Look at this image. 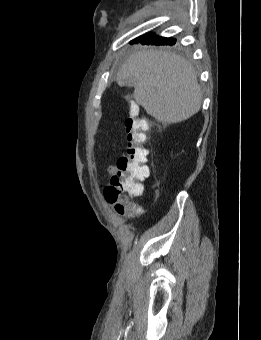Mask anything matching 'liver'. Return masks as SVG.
<instances>
[{
	"label": "liver",
	"mask_w": 261,
	"mask_h": 340,
	"mask_svg": "<svg viewBox=\"0 0 261 340\" xmlns=\"http://www.w3.org/2000/svg\"><path fill=\"white\" fill-rule=\"evenodd\" d=\"M120 87H134V99L158 122L179 123L196 114L202 92L193 66L175 53L143 48L119 69Z\"/></svg>",
	"instance_id": "liver-1"
}]
</instances>
